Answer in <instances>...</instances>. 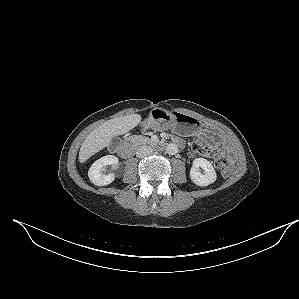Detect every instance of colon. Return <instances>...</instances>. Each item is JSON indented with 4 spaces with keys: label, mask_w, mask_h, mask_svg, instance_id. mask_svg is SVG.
<instances>
[{
    "label": "colon",
    "mask_w": 299,
    "mask_h": 299,
    "mask_svg": "<svg viewBox=\"0 0 299 299\" xmlns=\"http://www.w3.org/2000/svg\"><path fill=\"white\" fill-rule=\"evenodd\" d=\"M192 147L196 152L204 156L211 157L214 161L215 167L218 168L224 176H228L230 174L231 169L225 154L221 149L206 146L200 140H194Z\"/></svg>",
    "instance_id": "5ec220e1"
}]
</instances>
